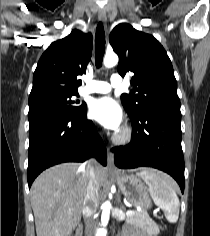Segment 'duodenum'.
Returning <instances> with one entry per match:
<instances>
[{
  "mask_svg": "<svg viewBox=\"0 0 210 236\" xmlns=\"http://www.w3.org/2000/svg\"><path fill=\"white\" fill-rule=\"evenodd\" d=\"M77 236H81V234H80V233H78V234H77Z\"/></svg>",
  "mask_w": 210,
  "mask_h": 236,
  "instance_id": "1",
  "label": "duodenum"
}]
</instances>
